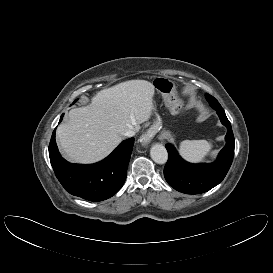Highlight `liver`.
<instances>
[{
	"instance_id": "1",
	"label": "liver",
	"mask_w": 273,
	"mask_h": 273,
	"mask_svg": "<svg viewBox=\"0 0 273 273\" xmlns=\"http://www.w3.org/2000/svg\"><path fill=\"white\" fill-rule=\"evenodd\" d=\"M154 92L152 83L130 80L99 91L88 106L71 109L56 131L65 156L83 164L105 158L127 129L137 131L151 117Z\"/></svg>"
}]
</instances>
